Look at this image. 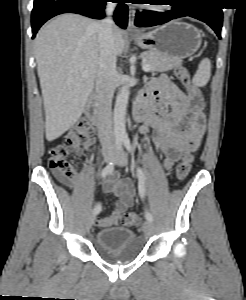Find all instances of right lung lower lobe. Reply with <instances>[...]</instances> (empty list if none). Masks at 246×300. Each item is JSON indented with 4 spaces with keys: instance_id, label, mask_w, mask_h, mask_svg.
Masks as SVG:
<instances>
[{
    "instance_id": "right-lung-lower-lobe-1",
    "label": "right lung lower lobe",
    "mask_w": 246,
    "mask_h": 300,
    "mask_svg": "<svg viewBox=\"0 0 246 300\" xmlns=\"http://www.w3.org/2000/svg\"><path fill=\"white\" fill-rule=\"evenodd\" d=\"M117 2L114 20L121 28H126L128 22V7L123 0H34L31 14L32 38L38 29L50 18L67 12L81 14L90 18L102 19L106 2Z\"/></svg>"
}]
</instances>
